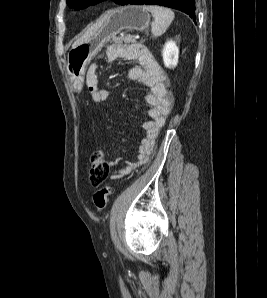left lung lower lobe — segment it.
Listing matches in <instances>:
<instances>
[{
	"mask_svg": "<svg viewBox=\"0 0 267 298\" xmlns=\"http://www.w3.org/2000/svg\"><path fill=\"white\" fill-rule=\"evenodd\" d=\"M154 4L174 8L188 14L193 21L195 18V0H125L122 5Z\"/></svg>",
	"mask_w": 267,
	"mask_h": 298,
	"instance_id": "obj_1",
	"label": "left lung lower lobe"
}]
</instances>
